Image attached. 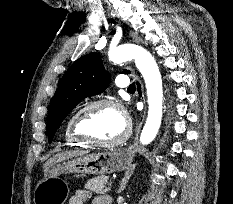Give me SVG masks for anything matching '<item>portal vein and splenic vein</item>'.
Wrapping results in <instances>:
<instances>
[{
    "instance_id": "portal-vein-and-splenic-vein-1",
    "label": "portal vein and splenic vein",
    "mask_w": 233,
    "mask_h": 204,
    "mask_svg": "<svg viewBox=\"0 0 233 204\" xmlns=\"http://www.w3.org/2000/svg\"><path fill=\"white\" fill-rule=\"evenodd\" d=\"M110 190V187H106L105 189H104V192H107V191H109Z\"/></svg>"
}]
</instances>
